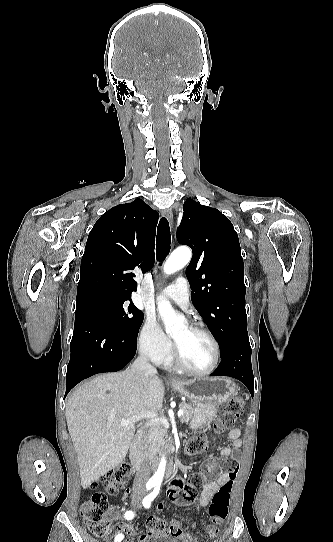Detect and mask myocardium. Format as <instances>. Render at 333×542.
Segmentation results:
<instances>
[{
    "mask_svg": "<svg viewBox=\"0 0 333 542\" xmlns=\"http://www.w3.org/2000/svg\"><path fill=\"white\" fill-rule=\"evenodd\" d=\"M188 328L196 333L204 335L206 338L210 340V342L213 345L214 348V360L211 366L205 370H194L190 368L186 363L182 360L180 357L175 345L173 342H170V349H169V356L171 361L183 372L188 373L193 376H205L208 374H211L219 365L220 357H221V350L220 345L216 337L206 328L203 326H200L198 324H191L188 326Z\"/></svg>",
    "mask_w": 333,
    "mask_h": 542,
    "instance_id": "1",
    "label": "myocardium"
}]
</instances>
